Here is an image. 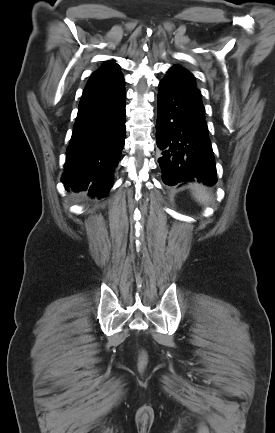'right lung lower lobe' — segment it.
I'll return each instance as SVG.
<instances>
[{"mask_svg":"<svg viewBox=\"0 0 275 433\" xmlns=\"http://www.w3.org/2000/svg\"><path fill=\"white\" fill-rule=\"evenodd\" d=\"M125 99L124 83L83 93L64 165L66 190L99 198L109 192L124 147Z\"/></svg>","mask_w":275,"mask_h":433,"instance_id":"right-lung-lower-lobe-1","label":"right lung lower lobe"}]
</instances>
